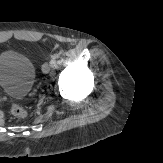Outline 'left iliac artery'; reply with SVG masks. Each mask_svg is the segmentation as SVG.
<instances>
[{
  "label": "left iliac artery",
  "instance_id": "44dca946",
  "mask_svg": "<svg viewBox=\"0 0 163 163\" xmlns=\"http://www.w3.org/2000/svg\"><path fill=\"white\" fill-rule=\"evenodd\" d=\"M52 66H55V56H52V60L50 61Z\"/></svg>",
  "mask_w": 163,
  "mask_h": 163
}]
</instances>
